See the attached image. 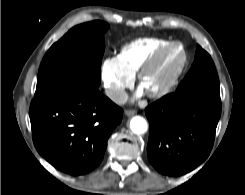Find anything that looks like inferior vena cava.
<instances>
[{"mask_svg":"<svg viewBox=\"0 0 245 195\" xmlns=\"http://www.w3.org/2000/svg\"><path fill=\"white\" fill-rule=\"evenodd\" d=\"M106 95L117 104H125L128 100V94L124 90L107 89Z\"/></svg>","mask_w":245,"mask_h":195,"instance_id":"1","label":"inferior vena cava"}]
</instances>
